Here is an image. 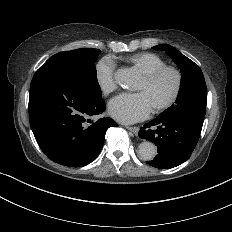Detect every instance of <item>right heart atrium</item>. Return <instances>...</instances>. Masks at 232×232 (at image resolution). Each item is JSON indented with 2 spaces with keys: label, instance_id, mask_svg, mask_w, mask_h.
<instances>
[{
  "label": "right heart atrium",
  "instance_id": "right-heart-atrium-1",
  "mask_svg": "<svg viewBox=\"0 0 232 232\" xmlns=\"http://www.w3.org/2000/svg\"><path fill=\"white\" fill-rule=\"evenodd\" d=\"M115 69V62L110 56L102 57L96 64V81L104 93H110L116 89V83L113 80Z\"/></svg>",
  "mask_w": 232,
  "mask_h": 232
}]
</instances>
